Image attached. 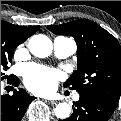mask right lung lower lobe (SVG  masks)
<instances>
[{"instance_id": "obj_1", "label": "right lung lower lobe", "mask_w": 121, "mask_h": 121, "mask_svg": "<svg viewBox=\"0 0 121 121\" xmlns=\"http://www.w3.org/2000/svg\"><path fill=\"white\" fill-rule=\"evenodd\" d=\"M8 82L14 86L19 85V79L11 75ZM35 99L23 89L15 90L12 96H1V121H20L28 105Z\"/></svg>"}]
</instances>
